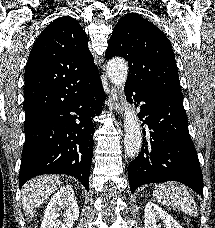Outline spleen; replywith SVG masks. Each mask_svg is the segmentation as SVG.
<instances>
[{
    "instance_id": "obj_1",
    "label": "spleen",
    "mask_w": 215,
    "mask_h": 228,
    "mask_svg": "<svg viewBox=\"0 0 215 228\" xmlns=\"http://www.w3.org/2000/svg\"><path fill=\"white\" fill-rule=\"evenodd\" d=\"M153 196L156 202L162 206H171V208H178L184 214L195 218L197 216L196 204L189 194L188 190L177 184V182H167V184H158L153 188Z\"/></svg>"
}]
</instances>
